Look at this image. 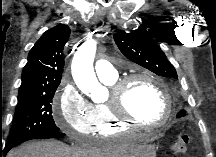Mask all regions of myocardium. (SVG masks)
Here are the masks:
<instances>
[{
	"instance_id": "myocardium-1",
	"label": "myocardium",
	"mask_w": 216,
	"mask_h": 157,
	"mask_svg": "<svg viewBox=\"0 0 216 157\" xmlns=\"http://www.w3.org/2000/svg\"><path fill=\"white\" fill-rule=\"evenodd\" d=\"M139 79L151 82L159 89V91L163 95L165 103V113L163 118L158 122H146L139 120L135 118L127 108V92L129 85L135 80ZM107 103L111 108L114 117L118 121L139 128L163 127L170 121L172 116V101L168 89L161 80L145 72L133 73L117 80L111 86L110 96Z\"/></svg>"
}]
</instances>
